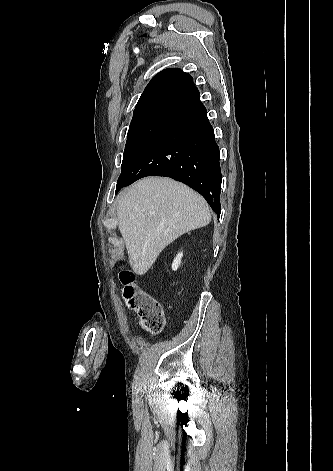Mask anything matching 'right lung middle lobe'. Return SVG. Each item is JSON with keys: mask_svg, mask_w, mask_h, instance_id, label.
<instances>
[{"mask_svg": "<svg viewBox=\"0 0 333 471\" xmlns=\"http://www.w3.org/2000/svg\"><path fill=\"white\" fill-rule=\"evenodd\" d=\"M175 121L161 116L133 117L127 134L120 175L162 131Z\"/></svg>", "mask_w": 333, "mask_h": 471, "instance_id": "right-lung-middle-lobe-1", "label": "right lung middle lobe"}]
</instances>
